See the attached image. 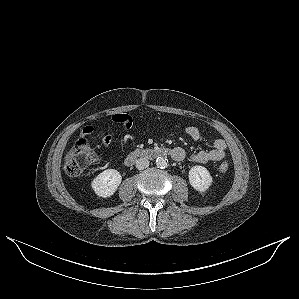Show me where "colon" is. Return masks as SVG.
I'll return each mask as SVG.
<instances>
[{"label":"colon","instance_id":"colon-1","mask_svg":"<svg viewBox=\"0 0 299 299\" xmlns=\"http://www.w3.org/2000/svg\"><path fill=\"white\" fill-rule=\"evenodd\" d=\"M97 156L92 146L84 139H79L75 146L66 154L64 168L69 176L77 177L95 162ZM228 163L223 162L219 166L222 173L227 172Z\"/></svg>","mask_w":299,"mask_h":299}]
</instances>
